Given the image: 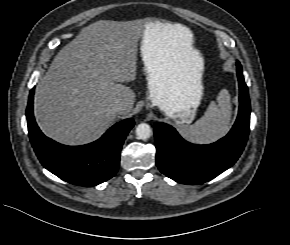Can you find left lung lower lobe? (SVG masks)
Wrapping results in <instances>:
<instances>
[{
	"mask_svg": "<svg viewBox=\"0 0 290 245\" xmlns=\"http://www.w3.org/2000/svg\"><path fill=\"white\" fill-rule=\"evenodd\" d=\"M240 89L238 117L231 131L209 145H195L185 141L177 131L165 123H155L156 163L167 177L182 184L207 182L240 157L249 134L250 100L242 68L237 62Z\"/></svg>",
	"mask_w": 290,
	"mask_h": 245,
	"instance_id": "obj_1",
	"label": "left lung lower lobe"
}]
</instances>
